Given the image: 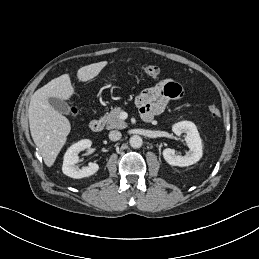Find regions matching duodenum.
<instances>
[{"instance_id":"410a0bca","label":"duodenum","mask_w":259,"mask_h":259,"mask_svg":"<svg viewBox=\"0 0 259 259\" xmlns=\"http://www.w3.org/2000/svg\"><path fill=\"white\" fill-rule=\"evenodd\" d=\"M103 126H104V121L101 117L93 119L90 123V129L93 132H100L103 129Z\"/></svg>"}]
</instances>
